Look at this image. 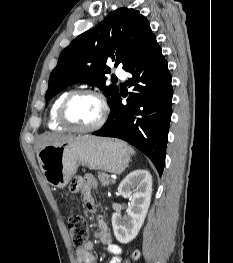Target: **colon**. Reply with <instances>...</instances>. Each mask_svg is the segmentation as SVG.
<instances>
[{
	"label": "colon",
	"instance_id": "5ec220e1",
	"mask_svg": "<svg viewBox=\"0 0 233 263\" xmlns=\"http://www.w3.org/2000/svg\"><path fill=\"white\" fill-rule=\"evenodd\" d=\"M68 229L72 238L73 245L76 248L83 247L88 241V225L86 220L79 214L72 213L68 217ZM139 253H133V260L139 259Z\"/></svg>",
	"mask_w": 233,
	"mask_h": 263
}]
</instances>
